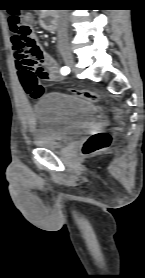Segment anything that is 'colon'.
Returning <instances> with one entry per match:
<instances>
[{
  "label": "colon",
  "instance_id": "5ec220e1",
  "mask_svg": "<svg viewBox=\"0 0 145 278\" xmlns=\"http://www.w3.org/2000/svg\"><path fill=\"white\" fill-rule=\"evenodd\" d=\"M8 23L10 30L14 33V35L18 36L22 40V45L27 46L29 39L32 35L31 29L26 26L21 17L17 14H11L8 18ZM33 85L31 87H27V92L32 93L33 88L35 87L38 77H34L32 79ZM73 93L77 96L83 97L90 101H97L99 96L95 92L91 91H73ZM116 115L118 118H121V113L116 111ZM111 136L107 132H97L92 134L84 143L82 152L86 156L93 155L105 148H107L110 144Z\"/></svg>",
  "mask_w": 145,
  "mask_h": 278
}]
</instances>
